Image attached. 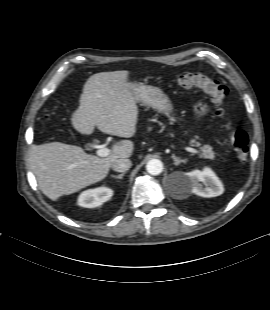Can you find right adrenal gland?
Masks as SVG:
<instances>
[{
    "label": "right adrenal gland",
    "instance_id": "right-adrenal-gland-1",
    "mask_svg": "<svg viewBox=\"0 0 270 310\" xmlns=\"http://www.w3.org/2000/svg\"><path fill=\"white\" fill-rule=\"evenodd\" d=\"M125 175V173H121V174H119V175H111L113 178H115V179H122L123 178V176Z\"/></svg>",
    "mask_w": 270,
    "mask_h": 310
}]
</instances>
